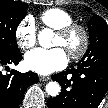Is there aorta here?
<instances>
[{"mask_svg":"<svg viewBox=\"0 0 108 108\" xmlns=\"http://www.w3.org/2000/svg\"><path fill=\"white\" fill-rule=\"evenodd\" d=\"M54 33L51 29H43L42 31L39 32L38 34V42L39 44L44 47V48H49L51 47V39L53 37ZM61 87L60 85L53 81L49 82L46 85V92L50 96H56L60 93Z\"/></svg>","mask_w":108,"mask_h":108,"instance_id":"aorta-1","label":"aorta"}]
</instances>
